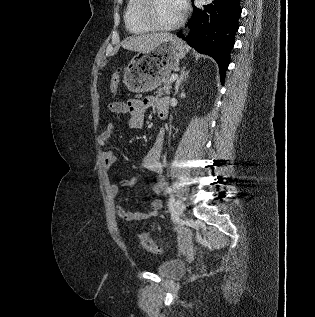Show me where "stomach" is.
Wrapping results in <instances>:
<instances>
[{
  "instance_id": "1",
  "label": "stomach",
  "mask_w": 315,
  "mask_h": 317,
  "mask_svg": "<svg viewBox=\"0 0 315 317\" xmlns=\"http://www.w3.org/2000/svg\"><path fill=\"white\" fill-rule=\"evenodd\" d=\"M185 54L186 48L180 39L172 35L164 37L150 51L139 52L131 59L124 71L126 88L134 93L157 88Z\"/></svg>"
}]
</instances>
